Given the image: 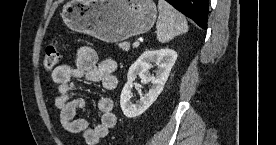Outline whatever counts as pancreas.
I'll use <instances>...</instances> for the list:
<instances>
[{
	"label": "pancreas",
	"instance_id": "pancreas-1",
	"mask_svg": "<svg viewBox=\"0 0 276 145\" xmlns=\"http://www.w3.org/2000/svg\"><path fill=\"white\" fill-rule=\"evenodd\" d=\"M119 47L124 51H129L130 49V43L128 42H122L119 44Z\"/></svg>",
	"mask_w": 276,
	"mask_h": 145
}]
</instances>
